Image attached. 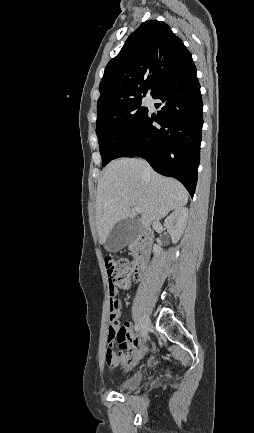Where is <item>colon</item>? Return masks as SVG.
<instances>
[{
	"label": "colon",
	"instance_id": "1",
	"mask_svg": "<svg viewBox=\"0 0 254 433\" xmlns=\"http://www.w3.org/2000/svg\"><path fill=\"white\" fill-rule=\"evenodd\" d=\"M105 268L108 276L110 286V303H111V314L110 318L113 322L110 326L111 338H117L120 327L118 325V300L113 295V290L118 287L120 289H127L131 283L132 267L130 262L124 258L118 257H107L105 259Z\"/></svg>",
	"mask_w": 254,
	"mask_h": 433
}]
</instances>
